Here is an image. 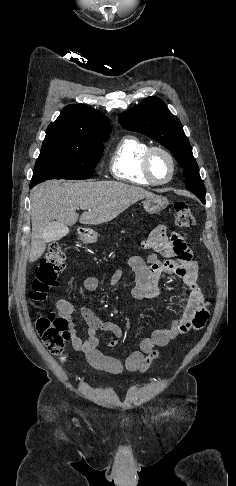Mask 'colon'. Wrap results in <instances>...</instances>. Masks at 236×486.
Segmentation results:
<instances>
[{"mask_svg": "<svg viewBox=\"0 0 236 486\" xmlns=\"http://www.w3.org/2000/svg\"><path fill=\"white\" fill-rule=\"evenodd\" d=\"M176 225L183 230L191 229L195 224L194 214L185 201L174 205ZM65 268V254L58 244H51L35 271L32 288L29 293L31 301L42 302L49 291L57 285L58 275ZM37 332L50 352L57 356L64 353L70 337L67 322L54 314L40 316L36 320Z\"/></svg>", "mask_w": 236, "mask_h": 486, "instance_id": "1", "label": "colon"}]
</instances>
